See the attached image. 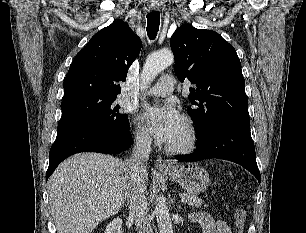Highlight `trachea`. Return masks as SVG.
I'll list each match as a JSON object with an SVG mask.
<instances>
[{
    "instance_id": "3493384b",
    "label": "trachea",
    "mask_w": 306,
    "mask_h": 233,
    "mask_svg": "<svg viewBox=\"0 0 306 233\" xmlns=\"http://www.w3.org/2000/svg\"><path fill=\"white\" fill-rule=\"evenodd\" d=\"M160 14L152 11L147 15V34L150 39H155L159 30Z\"/></svg>"
}]
</instances>
